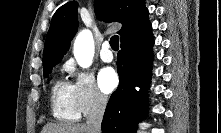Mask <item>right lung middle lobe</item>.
Masks as SVG:
<instances>
[{"instance_id": "dd1d6c3e", "label": "right lung middle lobe", "mask_w": 221, "mask_h": 133, "mask_svg": "<svg viewBox=\"0 0 221 133\" xmlns=\"http://www.w3.org/2000/svg\"><path fill=\"white\" fill-rule=\"evenodd\" d=\"M56 64L57 63H52L43 67V74L45 78L48 77V75L52 72V69Z\"/></svg>"}]
</instances>
